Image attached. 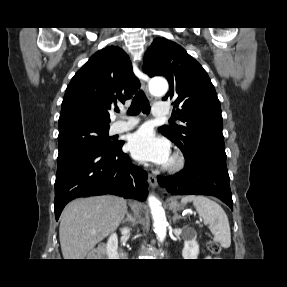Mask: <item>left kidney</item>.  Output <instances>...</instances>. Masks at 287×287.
Segmentation results:
<instances>
[{
	"label": "left kidney",
	"instance_id": "obj_1",
	"mask_svg": "<svg viewBox=\"0 0 287 287\" xmlns=\"http://www.w3.org/2000/svg\"><path fill=\"white\" fill-rule=\"evenodd\" d=\"M199 254V245L194 237V232H189V239L185 240L182 256L184 259H196Z\"/></svg>",
	"mask_w": 287,
	"mask_h": 287
}]
</instances>
